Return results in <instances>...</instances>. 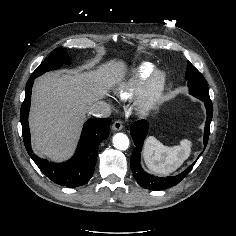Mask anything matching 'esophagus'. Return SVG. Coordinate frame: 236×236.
<instances>
[{"mask_svg": "<svg viewBox=\"0 0 236 236\" xmlns=\"http://www.w3.org/2000/svg\"><path fill=\"white\" fill-rule=\"evenodd\" d=\"M122 128H123V125L120 120L115 121L112 125L113 131H120V130H122Z\"/></svg>", "mask_w": 236, "mask_h": 236, "instance_id": "1", "label": "esophagus"}]
</instances>
